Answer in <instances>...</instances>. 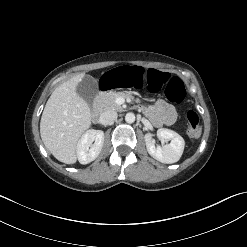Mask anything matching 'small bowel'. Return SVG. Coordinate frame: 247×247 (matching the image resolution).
I'll use <instances>...</instances> for the list:
<instances>
[{
  "label": "small bowel",
  "mask_w": 247,
  "mask_h": 247,
  "mask_svg": "<svg viewBox=\"0 0 247 247\" xmlns=\"http://www.w3.org/2000/svg\"><path fill=\"white\" fill-rule=\"evenodd\" d=\"M147 113L156 126L171 125L176 119V111L164 100H158L147 109Z\"/></svg>",
  "instance_id": "small-bowel-1"
}]
</instances>
